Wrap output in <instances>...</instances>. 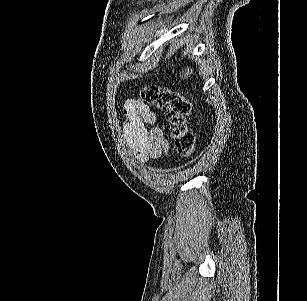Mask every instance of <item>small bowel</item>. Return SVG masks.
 I'll use <instances>...</instances> for the list:
<instances>
[{
    "mask_svg": "<svg viewBox=\"0 0 307 301\" xmlns=\"http://www.w3.org/2000/svg\"><path fill=\"white\" fill-rule=\"evenodd\" d=\"M122 132L135 157L147 162L164 156L169 148L166 126L156 125V116L141 99H129L123 107Z\"/></svg>",
    "mask_w": 307,
    "mask_h": 301,
    "instance_id": "1",
    "label": "small bowel"
}]
</instances>
